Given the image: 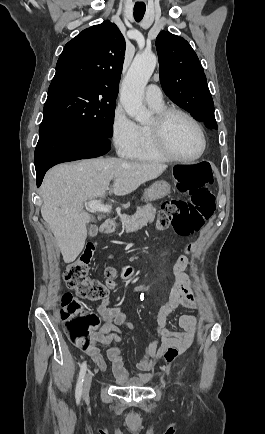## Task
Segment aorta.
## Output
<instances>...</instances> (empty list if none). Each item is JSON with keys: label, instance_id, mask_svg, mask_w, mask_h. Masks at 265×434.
Instances as JSON below:
<instances>
[{"label": "aorta", "instance_id": "762f6f07", "mask_svg": "<svg viewBox=\"0 0 265 434\" xmlns=\"http://www.w3.org/2000/svg\"><path fill=\"white\" fill-rule=\"evenodd\" d=\"M155 54L135 56L121 86L120 102L128 116L136 122H149L150 114L143 106V96L155 68Z\"/></svg>", "mask_w": 265, "mask_h": 434}]
</instances>
